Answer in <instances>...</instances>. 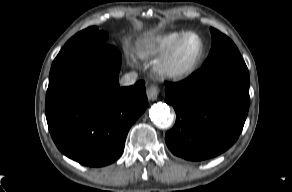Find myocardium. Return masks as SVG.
I'll return each instance as SVG.
<instances>
[{"mask_svg": "<svg viewBox=\"0 0 292 192\" xmlns=\"http://www.w3.org/2000/svg\"><path fill=\"white\" fill-rule=\"evenodd\" d=\"M195 36L199 39L201 49L197 57L187 66H180L177 62L178 54L184 41ZM206 56V43L203 37L197 32L189 31L184 33L161 59L158 65V72L165 78L172 80L185 79L191 76L203 63Z\"/></svg>", "mask_w": 292, "mask_h": 192, "instance_id": "1", "label": "myocardium"}]
</instances>
